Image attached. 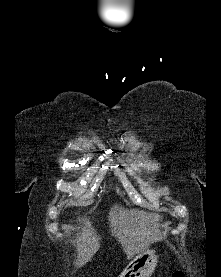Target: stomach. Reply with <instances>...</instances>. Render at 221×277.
<instances>
[{"label": "stomach", "mask_w": 221, "mask_h": 277, "mask_svg": "<svg viewBox=\"0 0 221 277\" xmlns=\"http://www.w3.org/2000/svg\"><path fill=\"white\" fill-rule=\"evenodd\" d=\"M158 262L156 250L148 248L137 254L119 277H149Z\"/></svg>", "instance_id": "stomach-1"}]
</instances>
